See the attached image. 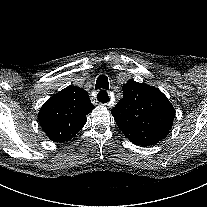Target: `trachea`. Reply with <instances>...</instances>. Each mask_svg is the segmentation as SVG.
<instances>
[{
  "label": "trachea",
  "mask_w": 207,
  "mask_h": 207,
  "mask_svg": "<svg viewBox=\"0 0 207 207\" xmlns=\"http://www.w3.org/2000/svg\"><path fill=\"white\" fill-rule=\"evenodd\" d=\"M100 88H103L105 90L109 89L108 78L105 75H100L97 78L95 89L97 90ZM104 93H105V96H104ZM98 101H100L102 103H107L109 101V96L106 91H104V90L100 91V95L98 96Z\"/></svg>",
  "instance_id": "obj_1"
}]
</instances>
